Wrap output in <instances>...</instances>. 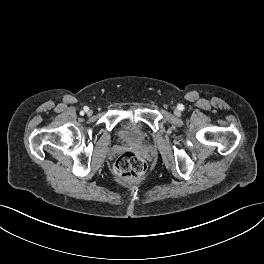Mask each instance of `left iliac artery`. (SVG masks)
Wrapping results in <instances>:
<instances>
[{
	"mask_svg": "<svg viewBox=\"0 0 264 264\" xmlns=\"http://www.w3.org/2000/svg\"><path fill=\"white\" fill-rule=\"evenodd\" d=\"M178 108H179L180 110H183V109H184V106H183L182 104H180V105L178 106Z\"/></svg>",
	"mask_w": 264,
	"mask_h": 264,
	"instance_id": "1",
	"label": "left iliac artery"
}]
</instances>
